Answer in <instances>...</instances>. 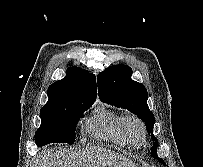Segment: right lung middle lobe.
Returning <instances> with one entry per match:
<instances>
[{
    "label": "right lung middle lobe",
    "instance_id": "dd1d6c3e",
    "mask_svg": "<svg viewBox=\"0 0 203 167\" xmlns=\"http://www.w3.org/2000/svg\"><path fill=\"white\" fill-rule=\"evenodd\" d=\"M93 103L94 100H80L57 108L40 110L42 122L35 134L37 146L74 143L76 123Z\"/></svg>",
    "mask_w": 203,
    "mask_h": 167
}]
</instances>
